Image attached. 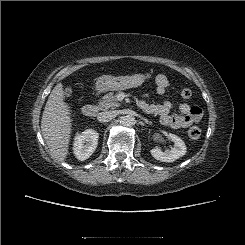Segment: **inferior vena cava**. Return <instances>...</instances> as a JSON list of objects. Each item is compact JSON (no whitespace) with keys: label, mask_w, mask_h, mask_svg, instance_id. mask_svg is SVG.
Returning <instances> with one entry per match:
<instances>
[{"label":"inferior vena cava","mask_w":245,"mask_h":245,"mask_svg":"<svg viewBox=\"0 0 245 245\" xmlns=\"http://www.w3.org/2000/svg\"><path fill=\"white\" fill-rule=\"evenodd\" d=\"M116 116L114 111H105L98 114L97 119L99 122H108Z\"/></svg>","instance_id":"602c4592"}]
</instances>
